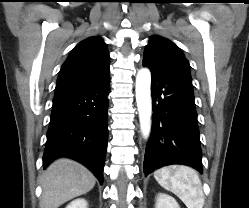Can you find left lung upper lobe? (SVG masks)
Returning <instances> with one entry per match:
<instances>
[{"label":"left lung upper lobe","instance_id":"obj_1","mask_svg":"<svg viewBox=\"0 0 249 208\" xmlns=\"http://www.w3.org/2000/svg\"><path fill=\"white\" fill-rule=\"evenodd\" d=\"M143 61L152 67L178 75L192 83L188 60L182 51L166 38L152 36L146 46Z\"/></svg>","mask_w":249,"mask_h":208}]
</instances>
